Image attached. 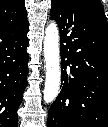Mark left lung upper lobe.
I'll return each mask as SVG.
<instances>
[{"label":"left lung upper lobe","mask_w":108,"mask_h":127,"mask_svg":"<svg viewBox=\"0 0 108 127\" xmlns=\"http://www.w3.org/2000/svg\"><path fill=\"white\" fill-rule=\"evenodd\" d=\"M79 2H83L85 4L95 5L97 6L102 12L104 11L103 6L100 0H78Z\"/></svg>","instance_id":"obj_1"}]
</instances>
